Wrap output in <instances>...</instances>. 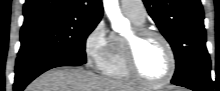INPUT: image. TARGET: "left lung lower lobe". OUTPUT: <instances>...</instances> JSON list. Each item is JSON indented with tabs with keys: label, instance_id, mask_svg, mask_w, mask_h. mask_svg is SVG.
<instances>
[{
	"label": "left lung lower lobe",
	"instance_id": "obj_1",
	"mask_svg": "<svg viewBox=\"0 0 220 91\" xmlns=\"http://www.w3.org/2000/svg\"><path fill=\"white\" fill-rule=\"evenodd\" d=\"M172 84L183 86L194 91H212L213 82L210 77V70L202 69L178 80L172 81Z\"/></svg>",
	"mask_w": 220,
	"mask_h": 91
}]
</instances>
